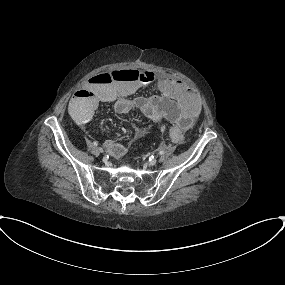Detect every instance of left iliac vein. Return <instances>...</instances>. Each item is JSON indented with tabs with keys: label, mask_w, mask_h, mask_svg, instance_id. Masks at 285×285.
<instances>
[{
	"label": "left iliac vein",
	"mask_w": 285,
	"mask_h": 285,
	"mask_svg": "<svg viewBox=\"0 0 285 285\" xmlns=\"http://www.w3.org/2000/svg\"><path fill=\"white\" fill-rule=\"evenodd\" d=\"M157 163V160L156 159H151L150 161H149V164L150 165H155Z\"/></svg>",
	"instance_id": "obj_1"
}]
</instances>
